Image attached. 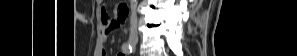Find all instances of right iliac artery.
<instances>
[{"mask_svg":"<svg viewBox=\"0 0 297 56\" xmlns=\"http://www.w3.org/2000/svg\"><path fill=\"white\" fill-rule=\"evenodd\" d=\"M122 50H123L124 53L129 54V53L132 52V47H131V45L129 43H124L122 45Z\"/></svg>","mask_w":297,"mask_h":56,"instance_id":"1","label":"right iliac artery"}]
</instances>
